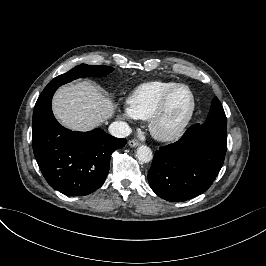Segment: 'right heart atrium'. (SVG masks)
Returning a JSON list of instances; mask_svg holds the SVG:
<instances>
[{
	"instance_id": "obj_1",
	"label": "right heart atrium",
	"mask_w": 266,
	"mask_h": 266,
	"mask_svg": "<svg viewBox=\"0 0 266 266\" xmlns=\"http://www.w3.org/2000/svg\"><path fill=\"white\" fill-rule=\"evenodd\" d=\"M121 114H122L124 117L129 118V119H133V118H134V116H133V114H132L130 108L127 107V106H123V107H122V109H121Z\"/></svg>"
}]
</instances>
